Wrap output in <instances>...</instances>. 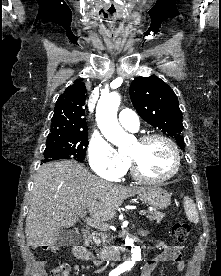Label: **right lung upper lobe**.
Wrapping results in <instances>:
<instances>
[{
	"mask_svg": "<svg viewBox=\"0 0 221 276\" xmlns=\"http://www.w3.org/2000/svg\"><path fill=\"white\" fill-rule=\"evenodd\" d=\"M82 78L74 81L59 96L54 109L51 133L48 137L88 134L87 121L84 118L86 86Z\"/></svg>",
	"mask_w": 221,
	"mask_h": 276,
	"instance_id": "1",
	"label": "right lung upper lobe"
}]
</instances>
